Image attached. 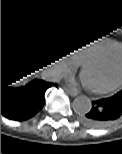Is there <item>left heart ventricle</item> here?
I'll use <instances>...</instances> for the list:
<instances>
[{"label":"left heart ventricle","mask_w":122,"mask_h":154,"mask_svg":"<svg viewBox=\"0 0 122 154\" xmlns=\"http://www.w3.org/2000/svg\"><path fill=\"white\" fill-rule=\"evenodd\" d=\"M122 76V54L109 55L87 66L83 80L89 87L109 85Z\"/></svg>","instance_id":"b2bd125f"}]
</instances>
